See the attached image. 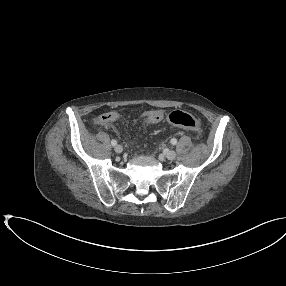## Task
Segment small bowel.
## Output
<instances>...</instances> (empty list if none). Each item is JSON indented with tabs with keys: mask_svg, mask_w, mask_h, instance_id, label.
Masks as SVG:
<instances>
[{
	"mask_svg": "<svg viewBox=\"0 0 286 286\" xmlns=\"http://www.w3.org/2000/svg\"><path fill=\"white\" fill-rule=\"evenodd\" d=\"M164 118V112L161 110H149L142 114L145 124H157ZM121 120V116L117 112H106L101 114L96 123L105 127H111L113 123Z\"/></svg>",
	"mask_w": 286,
	"mask_h": 286,
	"instance_id": "c3829d8e",
	"label": "small bowel"
}]
</instances>
